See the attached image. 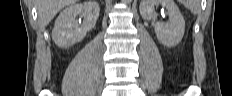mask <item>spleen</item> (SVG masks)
I'll list each match as a JSON object with an SVG mask.
<instances>
[{
	"label": "spleen",
	"instance_id": "1",
	"mask_svg": "<svg viewBox=\"0 0 232 96\" xmlns=\"http://www.w3.org/2000/svg\"><path fill=\"white\" fill-rule=\"evenodd\" d=\"M186 8H188L193 14L200 12V1L199 0H181L180 1Z\"/></svg>",
	"mask_w": 232,
	"mask_h": 96
}]
</instances>
